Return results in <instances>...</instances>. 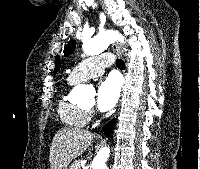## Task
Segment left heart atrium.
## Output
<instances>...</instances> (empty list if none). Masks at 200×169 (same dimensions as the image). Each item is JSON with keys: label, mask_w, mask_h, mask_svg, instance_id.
Wrapping results in <instances>:
<instances>
[{"label": "left heart atrium", "mask_w": 200, "mask_h": 169, "mask_svg": "<svg viewBox=\"0 0 200 169\" xmlns=\"http://www.w3.org/2000/svg\"><path fill=\"white\" fill-rule=\"evenodd\" d=\"M121 83L115 76L100 82L97 89V106L101 111L112 109L120 96Z\"/></svg>", "instance_id": "1"}]
</instances>
